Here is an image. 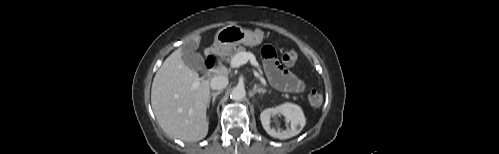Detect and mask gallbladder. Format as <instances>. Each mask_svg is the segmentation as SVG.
Wrapping results in <instances>:
<instances>
[{
	"label": "gallbladder",
	"mask_w": 499,
	"mask_h": 154,
	"mask_svg": "<svg viewBox=\"0 0 499 154\" xmlns=\"http://www.w3.org/2000/svg\"><path fill=\"white\" fill-rule=\"evenodd\" d=\"M198 39H189L183 47V61L186 66L193 70H200L204 67V59L195 50L198 48Z\"/></svg>",
	"instance_id": "1"
}]
</instances>
